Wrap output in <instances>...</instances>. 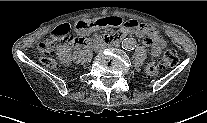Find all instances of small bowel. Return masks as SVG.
<instances>
[{
    "mask_svg": "<svg viewBox=\"0 0 207 123\" xmlns=\"http://www.w3.org/2000/svg\"><path fill=\"white\" fill-rule=\"evenodd\" d=\"M122 23L119 18L101 19L96 23H82L79 28L82 32L88 31L92 26L105 27V26H118ZM127 32H133L138 37H143L144 44L151 47V54L158 57L162 49L165 47V41L157 35L156 29L145 23H138L136 20H129L125 23V29L119 31L117 35H125ZM77 44H80L79 42Z\"/></svg>",
    "mask_w": 207,
    "mask_h": 123,
    "instance_id": "small-bowel-1",
    "label": "small bowel"
}]
</instances>
